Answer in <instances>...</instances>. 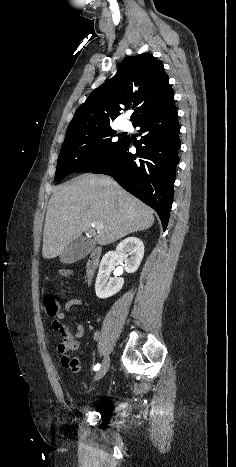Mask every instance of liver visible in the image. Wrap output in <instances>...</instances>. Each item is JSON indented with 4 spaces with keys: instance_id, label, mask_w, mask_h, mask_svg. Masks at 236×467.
<instances>
[{
    "instance_id": "liver-1",
    "label": "liver",
    "mask_w": 236,
    "mask_h": 467,
    "mask_svg": "<svg viewBox=\"0 0 236 467\" xmlns=\"http://www.w3.org/2000/svg\"><path fill=\"white\" fill-rule=\"evenodd\" d=\"M153 210L112 178L83 174L59 186L51 196L45 218L42 255L59 256L83 232L99 245L113 243L128 234L150 228ZM103 228L98 229L97 225Z\"/></svg>"
}]
</instances>
